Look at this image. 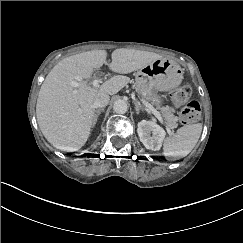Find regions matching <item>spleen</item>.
<instances>
[{"mask_svg": "<svg viewBox=\"0 0 243 243\" xmlns=\"http://www.w3.org/2000/svg\"><path fill=\"white\" fill-rule=\"evenodd\" d=\"M201 132V123L179 128L175 135L164 140V156H187L197 144Z\"/></svg>", "mask_w": 243, "mask_h": 243, "instance_id": "obj_1", "label": "spleen"}]
</instances>
